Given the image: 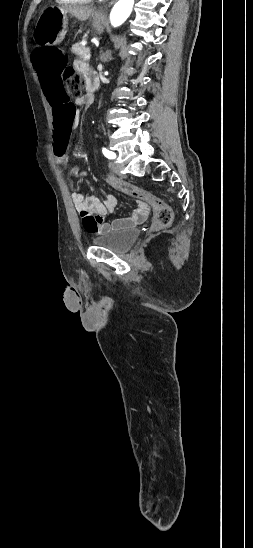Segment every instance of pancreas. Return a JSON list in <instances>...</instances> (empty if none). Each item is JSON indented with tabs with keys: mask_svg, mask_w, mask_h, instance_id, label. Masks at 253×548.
I'll use <instances>...</instances> for the list:
<instances>
[{
	"mask_svg": "<svg viewBox=\"0 0 253 548\" xmlns=\"http://www.w3.org/2000/svg\"><path fill=\"white\" fill-rule=\"evenodd\" d=\"M72 52L82 60L90 52V49L84 47L81 43H77L72 47Z\"/></svg>",
	"mask_w": 253,
	"mask_h": 548,
	"instance_id": "obj_1",
	"label": "pancreas"
}]
</instances>
